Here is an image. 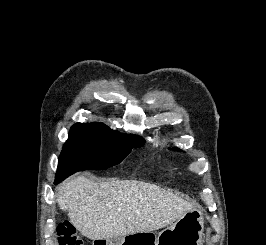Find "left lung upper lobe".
<instances>
[{"mask_svg":"<svg viewBox=\"0 0 266 245\" xmlns=\"http://www.w3.org/2000/svg\"><path fill=\"white\" fill-rule=\"evenodd\" d=\"M173 150H176V151H182V150H180V149H178V148H172Z\"/></svg>","mask_w":266,"mask_h":245,"instance_id":"obj_1","label":"left lung upper lobe"}]
</instances>
